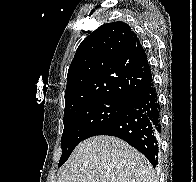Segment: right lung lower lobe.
Here are the masks:
<instances>
[{"label":"right lung lower lobe","mask_w":196,"mask_h":182,"mask_svg":"<svg viewBox=\"0 0 196 182\" xmlns=\"http://www.w3.org/2000/svg\"><path fill=\"white\" fill-rule=\"evenodd\" d=\"M123 139L144 154L155 168L161 137L160 105L153 79L137 93L122 113L101 126L92 136Z\"/></svg>","instance_id":"right-lung-lower-lobe-1"}]
</instances>
